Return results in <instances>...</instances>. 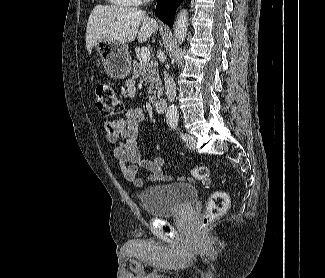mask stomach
Wrapping results in <instances>:
<instances>
[{"instance_id":"0dacf381","label":"stomach","mask_w":325,"mask_h":278,"mask_svg":"<svg viewBox=\"0 0 325 278\" xmlns=\"http://www.w3.org/2000/svg\"><path fill=\"white\" fill-rule=\"evenodd\" d=\"M94 48L111 77L122 79L129 75L131 61L127 43L102 39L94 44Z\"/></svg>"}]
</instances>
